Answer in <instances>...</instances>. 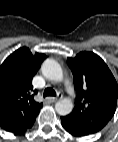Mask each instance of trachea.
I'll return each mask as SVG.
<instances>
[{
    "instance_id": "obj_1",
    "label": "trachea",
    "mask_w": 118,
    "mask_h": 142,
    "mask_svg": "<svg viewBox=\"0 0 118 142\" xmlns=\"http://www.w3.org/2000/svg\"><path fill=\"white\" fill-rule=\"evenodd\" d=\"M43 96L44 97H47V96H56V92H55V90H53L52 88L49 87V88H46L44 90Z\"/></svg>"
}]
</instances>
